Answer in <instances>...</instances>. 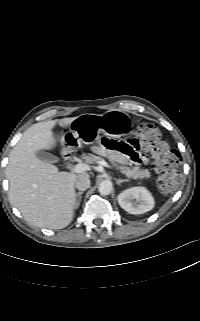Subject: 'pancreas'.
Returning <instances> with one entry per match:
<instances>
[{
	"label": "pancreas",
	"instance_id": "1",
	"mask_svg": "<svg viewBox=\"0 0 200 321\" xmlns=\"http://www.w3.org/2000/svg\"><path fill=\"white\" fill-rule=\"evenodd\" d=\"M101 155L107 156V154L104 151H102ZM83 159L88 164H95V163H99L100 161L104 160L101 156H96L94 154L83 155ZM118 168L125 176H127L128 178H131V179L137 180V179H143V178L150 177V172L148 169H139V167H132L131 168L128 166H119Z\"/></svg>",
	"mask_w": 200,
	"mask_h": 321
}]
</instances>
